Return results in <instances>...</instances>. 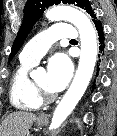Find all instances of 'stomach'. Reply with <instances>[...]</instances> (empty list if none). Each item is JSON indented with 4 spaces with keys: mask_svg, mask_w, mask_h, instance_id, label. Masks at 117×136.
<instances>
[{
    "mask_svg": "<svg viewBox=\"0 0 117 136\" xmlns=\"http://www.w3.org/2000/svg\"><path fill=\"white\" fill-rule=\"evenodd\" d=\"M45 122H46V120L43 119V118H37V119H36V124H37L38 126L44 125Z\"/></svg>",
    "mask_w": 117,
    "mask_h": 136,
    "instance_id": "0dacf381",
    "label": "stomach"
}]
</instances>
